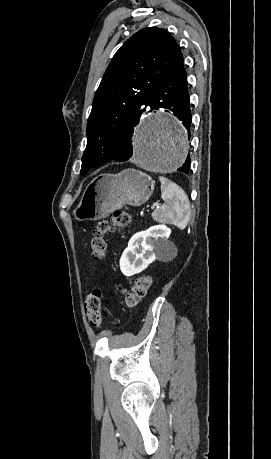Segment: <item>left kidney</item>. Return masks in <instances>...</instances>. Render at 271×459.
Returning a JSON list of instances; mask_svg holds the SVG:
<instances>
[{"label": "left kidney", "instance_id": "5707ae66", "mask_svg": "<svg viewBox=\"0 0 271 459\" xmlns=\"http://www.w3.org/2000/svg\"><path fill=\"white\" fill-rule=\"evenodd\" d=\"M168 235L166 226H152L146 231H137L128 241L120 257V269L124 275H134L146 269L156 259V251L165 245Z\"/></svg>", "mask_w": 271, "mask_h": 459}]
</instances>
